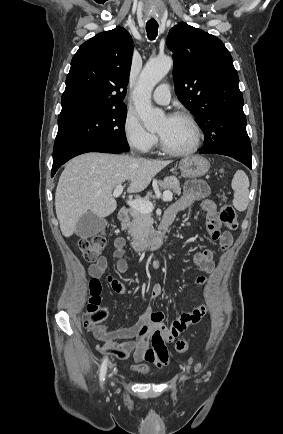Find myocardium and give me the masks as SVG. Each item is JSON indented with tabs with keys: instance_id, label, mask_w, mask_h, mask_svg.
Listing matches in <instances>:
<instances>
[{
	"instance_id": "obj_1",
	"label": "myocardium",
	"mask_w": 283,
	"mask_h": 434,
	"mask_svg": "<svg viewBox=\"0 0 283 434\" xmlns=\"http://www.w3.org/2000/svg\"><path fill=\"white\" fill-rule=\"evenodd\" d=\"M168 117L169 118H181V119L186 120L193 129L194 140H193V144L188 149L175 150V149L170 148L164 142L163 138L159 135V142H160L161 149L165 153H167L171 156H175V157L189 156V155L194 154L196 151H198V149L201 146V142H202V131H201V127H200L199 123L197 122V120L195 119V117L186 111H176V112L171 113Z\"/></svg>"
}]
</instances>
